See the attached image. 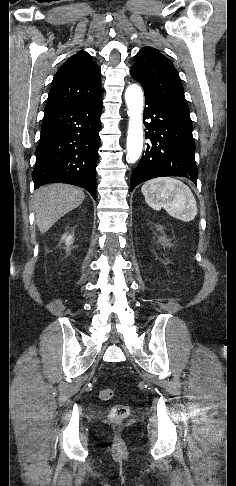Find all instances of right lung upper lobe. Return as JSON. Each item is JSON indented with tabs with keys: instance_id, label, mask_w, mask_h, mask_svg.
Segmentation results:
<instances>
[{
	"instance_id": "obj_1",
	"label": "right lung upper lobe",
	"mask_w": 236,
	"mask_h": 486,
	"mask_svg": "<svg viewBox=\"0 0 236 486\" xmlns=\"http://www.w3.org/2000/svg\"><path fill=\"white\" fill-rule=\"evenodd\" d=\"M101 96L100 70L88 53L79 51L56 72L45 111Z\"/></svg>"
}]
</instances>
